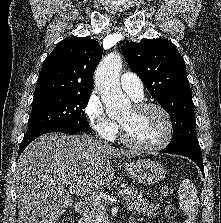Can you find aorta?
I'll return each instance as SVG.
<instances>
[{
  "label": "aorta",
  "mask_w": 221,
  "mask_h": 223,
  "mask_svg": "<svg viewBox=\"0 0 221 223\" xmlns=\"http://www.w3.org/2000/svg\"><path fill=\"white\" fill-rule=\"evenodd\" d=\"M122 59L116 53L107 55L98 65L95 72V84L99 89L109 116L115 117L130 109V100L122 93L119 75Z\"/></svg>",
  "instance_id": "762f6f07"
}]
</instances>
